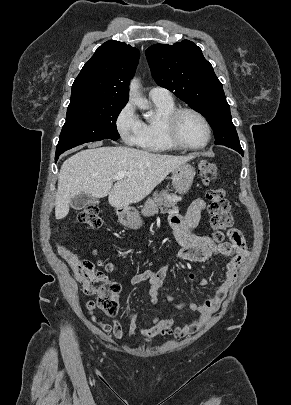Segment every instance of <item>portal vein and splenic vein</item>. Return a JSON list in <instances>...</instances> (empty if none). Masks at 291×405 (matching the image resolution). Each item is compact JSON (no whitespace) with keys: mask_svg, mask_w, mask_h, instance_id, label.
I'll list each match as a JSON object with an SVG mask.
<instances>
[{"mask_svg":"<svg viewBox=\"0 0 291 405\" xmlns=\"http://www.w3.org/2000/svg\"><path fill=\"white\" fill-rule=\"evenodd\" d=\"M128 175V173L127 172H124V171H122V172H118V173H116L114 176H113V179L114 180H121V179H123L125 176H127Z\"/></svg>","mask_w":291,"mask_h":405,"instance_id":"1","label":"portal vein and splenic vein"}]
</instances>
